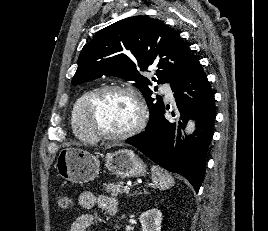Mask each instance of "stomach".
<instances>
[{"label": "stomach", "instance_id": "1", "mask_svg": "<svg viewBox=\"0 0 268 231\" xmlns=\"http://www.w3.org/2000/svg\"><path fill=\"white\" fill-rule=\"evenodd\" d=\"M105 167L111 174L120 178L138 177L146 173L144 162L128 149L108 153ZM55 168L63 179L83 184L98 177L100 161L97 156L86 150L70 147L60 151Z\"/></svg>", "mask_w": 268, "mask_h": 231}]
</instances>
